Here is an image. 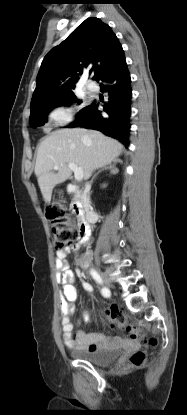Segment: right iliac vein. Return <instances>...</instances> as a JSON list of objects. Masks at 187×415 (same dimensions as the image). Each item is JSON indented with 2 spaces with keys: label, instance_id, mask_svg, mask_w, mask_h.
Returning a JSON list of instances; mask_svg holds the SVG:
<instances>
[{
  "label": "right iliac vein",
  "instance_id": "obj_1",
  "mask_svg": "<svg viewBox=\"0 0 187 415\" xmlns=\"http://www.w3.org/2000/svg\"><path fill=\"white\" fill-rule=\"evenodd\" d=\"M99 273H100V275H101V278H102V280H103L104 284H105L108 288H111V287H112V283H111V280L109 279V277H108L105 273H102V272H100V271H99Z\"/></svg>",
  "mask_w": 187,
  "mask_h": 415
}]
</instances>
